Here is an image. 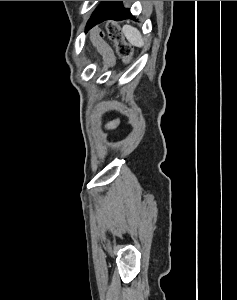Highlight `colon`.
<instances>
[{
  "label": "colon",
  "instance_id": "colon-1",
  "mask_svg": "<svg viewBox=\"0 0 237 300\" xmlns=\"http://www.w3.org/2000/svg\"><path fill=\"white\" fill-rule=\"evenodd\" d=\"M107 34L116 46V51L119 57L124 61L128 62L132 56V47L125 41L119 25L111 21L106 26ZM91 41L93 45L100 51L103 57L104 64H109L111 55L107 49L105 43L102 40L101 33L94 31L91 35Z\"/></svg>",
  "mask_w": 237,
  "mask_h": 300
}]
</instances>
